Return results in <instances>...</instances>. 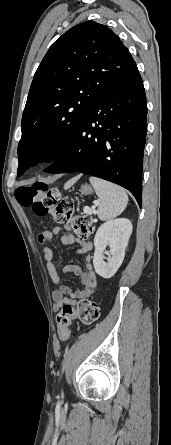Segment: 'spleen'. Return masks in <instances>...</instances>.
I'll return each instance as SVG.
<instances>
[{"instance_id": "spleen-1", "label": "spleen", "mask_w": 171, "mask_h": 445, "mask_svg": "<svg viewBox=\"0 0 171 445\" xmlns=\"http://www.w3.org/2000/svg\"><path fill=\"white\" fill-rule=\"evenodd\" d=\"M100 204L97 214L100 220H110L120 215L128 204V196L123 188L105 180L90 177Z\"/></svg>"}]
</instances>
